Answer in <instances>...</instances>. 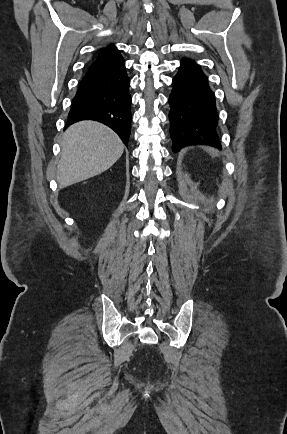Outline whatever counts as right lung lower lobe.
I'll list each match as a JSON object with an SVG mask.
<instances>
[{"label":"right lung lower lobe","instance_id":"right-lung-lower-lobe-1","mask_svg":"<svg viewBox=\"0 0 287 434\" xmlns=\"http://www.w3.org/2000/svg\"><path fill=\"white\" fill-rule=\"evenodd\" d=\"M129 86L119 51L96 58L78 86L66 127L81 120H96L113 129L127 145L132 118Z\"/></svg>","mask_w":287,"mask_h":434}]
</instances>
